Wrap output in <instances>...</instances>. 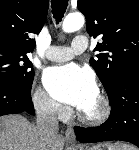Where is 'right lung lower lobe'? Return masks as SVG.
Listing matches in <instances>:
<instances>
[{"mask_svg":"<svg viewBox=\"0 0 139 150\" xmlns=\"http://www.w3.org/2000/svg\"><path fill=\"white\" fill-rule=\"evenodd\" d=\"M31 88L25 89L0 82V116L7 114L35 115Z\"/></svg>","mask_w":139,"mask_h":150,"instance_id":"right-lung-lower-lobe-1","label":"right lung lower lobe"}]
</instances>
